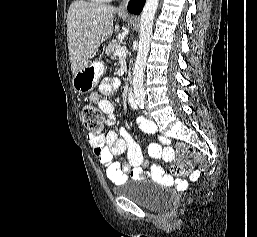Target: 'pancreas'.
<instances>
[{
	"label": "pancreas",
	"mask_w": 257,
	"mask_h": 237,
	"mask_svg": "<svg viewBox=\"0 0 257 237\" xmlns=\"http://www.w3.org/2000/svg\"><path fill=\"white\" fill-rule=\"evenodd\" d=\"M120 47V42L117 40H112L108 47L106 48V55L108 57H111V59H115L116 58V49H118ZM131 62V61H130Z\"/></svg>",
	"instance_id": "pancreas-1"
}]
</instances>
